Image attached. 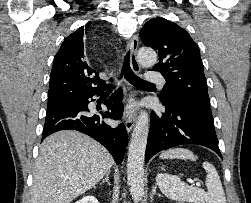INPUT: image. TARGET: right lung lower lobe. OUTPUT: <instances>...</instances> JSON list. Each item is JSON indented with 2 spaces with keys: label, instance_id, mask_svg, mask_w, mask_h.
Segmentation results:
<instances>
[{
  "label": "right lung lower lobe",
  "instance_id": "1",
  "mask_svg": "<svg viewBox=\"0 0 251 203\" xmlns=\"http://www.w3.org/2000/svg\"><path fill=\"white\" fill-rule=\"evenodd\" d=\"M104 90L90 92L73 103L47 111L42 140L60 130H77L101 143L119 164L128 143L127 131L124 124L112 127L104 119H121L122 89L116 90L105 102L108 111H92L88 108V99L103 94Z\"/></svg>",
  "mask_w": 251,
  "mask_h": 203
}]
</instances>
